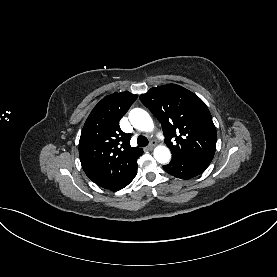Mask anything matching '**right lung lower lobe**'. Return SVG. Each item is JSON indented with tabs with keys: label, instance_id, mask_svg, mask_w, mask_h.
I'll return each instance as SVG.
<instances>
[{
	"label": "right lung lower lobe",
	"instance_id": "right-lung-lower-lobe-1",
	"mask_svg": "<svg viewBox=\"0 0 277 277\" xmlns=\"http://www.w3.org/2000/svg\"><path fill=\"white\" fill-rule=\"evenodd\" d=\"M137 174V165L127 174L125 178H123L118 184H116L112 189V191H118L127 186L136 176Z\"/></svg>",
	"mask_w": 277,
	"mask_h": 277
}]
</instances>
